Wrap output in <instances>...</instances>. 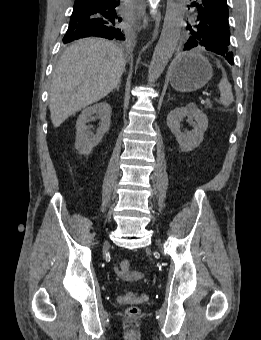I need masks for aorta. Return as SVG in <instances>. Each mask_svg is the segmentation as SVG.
Masks as SVG:
<instances>
[{"label":"aorta","instance_id":"obj_1","mask_svg":"<svg viewBox=\"0 0 261 340\" xmlns=\"http://www.w3.org/2000/svg\"><path fill=\"white\" fill-rule=\"evenodd\" d=\"M185 0H167L162 32L148 69V82L154 83L163 73L178 43Z\"/></svg>","mask_w":261,"mask_h":340}]
</instances>
